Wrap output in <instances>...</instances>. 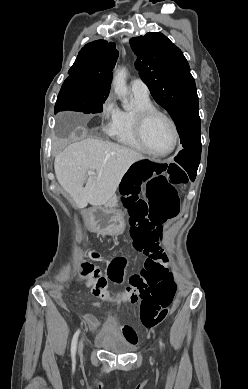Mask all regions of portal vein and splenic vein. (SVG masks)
Masks as SVG:
<instances>
[{
  "instance_id": "1",
  "label": "portal vein and splenic vein",
  "mask_w": 248,
  "mask_h": 389,
  "mask_svg": "<svg viewBox=\"0 0 248 389\" xmlns=\"http://www.w3.org/2000/svg\"><path fill=\"white\" fill-rule=\"evenodd\" d=\"M91 174H94V172L93 171H88V175H91Z\"/></svg>"
}]
</instances>
